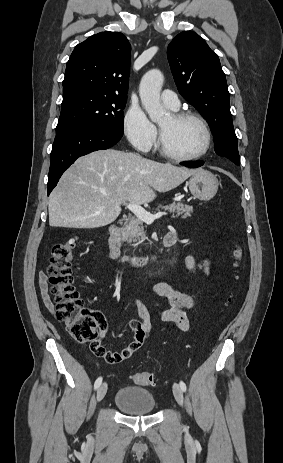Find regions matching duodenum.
I'll list each match as a JSON object with an SVG mask.
<instances>
[{"label": "duodenum", "mask_w": 283, "mask_h": 463, "mask_svg": "<svg viewBox=\"0 0 283 463\" xmlns=\"http://www.w3.org/2000/svg\"><path fill=\"white\" fill-rule=\"evenodd\" d=\"M109 231V247L110 257L112 260L121 265H128L133 268H143L149 263H158L161 259L162 252L173 246L176 243L177 237L174 232L167 233L162 242L161 249L151 256H131L121 253V229L118 224H110Z\"/></svg>", "instance_id": "410a0bca"}]
</instances>
